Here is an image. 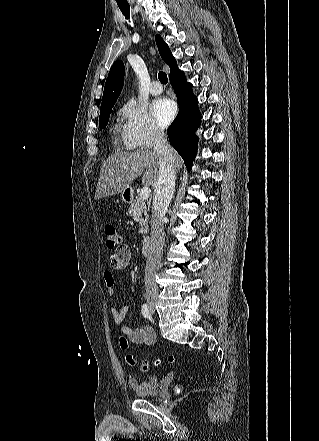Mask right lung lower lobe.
Here are the masks:
<instances>
[{
	"label": "right lung lower lobe",
	"mask_w": 319,
	"mask_h": 441,
	"mask_svg": "<svg viewBox=\"0 0 319 441\" xmlns=\"http://www.w3.org/2000/svg\"><path fill=\"white\" fill-rule=\"evenodd\" d=\"M169 78L177 96L179 112L168 128V137L171 145L183 158L186 167L191 170L198 147V137L194 132L201 122L198 100L193 94L192 84L187 82L181 70L173 71Z\"/></svg>",
	"instance_id": "98d812e1"
}]
</instances>
